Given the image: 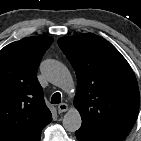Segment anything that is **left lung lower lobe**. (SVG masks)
<instances>
[{"instance_id":"0a47b994","label":"left lung lower lobe","mask_w":141,"mask_h":141,"mask_svg":"<svg viewBox=\"0 0 141 141\" xmlns=\"http://www.w3.org/2000/svg\"><path fill=\"white\" fill-rule=\"evenodd\" d=\"M75 134L79 141H108V140L95 137L82 129H79L78 131H76Z\"/></svg>"}]
</instances>
